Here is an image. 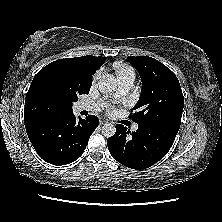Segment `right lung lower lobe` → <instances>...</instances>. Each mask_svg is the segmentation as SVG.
Wrapping results in <instances>:
<instances>
[{
	"label": "right lung lower lobe",
	"instance_id": "1",
	"mask_svg": "<svg viewBox=\"0 0 222 222\" xmlns=\"http://www.w3.org/2000/svg\"><path fill=\"white\" fill-rule=\"evenodd\" d=\"M99 125V119L89 115L77 121L73 112L46 119L26 129L39 156L53 165H65L77 160L85 150L89 137Z\"/></svg>",
	"mask_w": 222,
	"mask_h": 222
}]
</instances>
